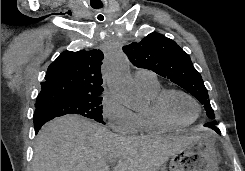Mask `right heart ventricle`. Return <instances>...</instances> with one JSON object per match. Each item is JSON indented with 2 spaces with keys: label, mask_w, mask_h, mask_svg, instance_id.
Listing matches in <instances>:
<instances>
[{
  "label": "right heart ventricle",
  "mask_w": 245,
  "mask_h": 171,
  "mask_svg": "<svg viewBox=\"0 0 245 171\" xmlns=\"http://www.w3.org/2000/svg\"><path fill=\"white\" fill-rule=\"evenodd\" d=\"M143 95L147 98L148 104L136 115L138 118V131L140 134H162L172 130L163 123H161L154 115L151 102L154 97L162 90L160 83L157 81L154 84L139 86Z\"/></svg>",
  "instance_id": "e07e8e85"
}]
</instances>
